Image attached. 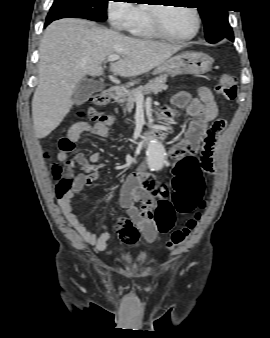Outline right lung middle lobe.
I'll return each instance as SVG.
<instances>
[{
    "label": "right lung middle lobe",
    "instance_id": "1",
    "mask_svg": "<svg viewBox=\"0 0 270 338\" xmlns=\"http://www.w3.org/2000/svg\"><path fill=\"white\" fill-rule=\"evenodd\" d=\"M109 0H54L47 15V21L66 17L84 18L92 21H105Z\"/></svg>",
    "mask_w": 270,
    "mask_h": 338
}]
</instances>
